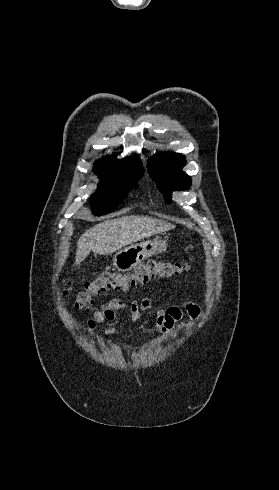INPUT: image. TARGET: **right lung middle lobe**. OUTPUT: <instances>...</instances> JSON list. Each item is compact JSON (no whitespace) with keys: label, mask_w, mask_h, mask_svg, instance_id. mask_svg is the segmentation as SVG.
I'll return each instance as SVG.
<instances>
[{"label":"right lung middle lobe","mask_w":279,"mask_h":490,"mask_svg":"<svg viewBox=\"0 0 279 490\" xmlns=\"http://www.w3.org/2000/svg\"><path fill=\"white\" fill-rule=\"evenodd\" d=\"M143 173L144 170H127L117 176L101 179L90 199L94 214L104 215L114 211L128 192L137 186Z\"/></svg>","instance_id":"dd1d6c3e"}]
</instances>
